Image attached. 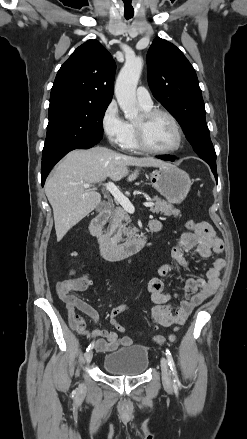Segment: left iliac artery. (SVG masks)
Returning <instances> with one entry per match:
<instances>
[{
    "label": "left iliac artery",
    "instance_id": "44dca946",
    "mask_svg": "<svg viewBox=\"0 0 247 439\" xmlns=\"http://www.w3.org/2000/svg\"><path fill=\"white\" fill-rule=\"evenodd\" d=\"M166 357H167V361H168V364L170 366V369H171V371L173 373V381H174L175 384H179V379H178V375H177L176 366H175L173 357H172V355H171L169 350H166Z\"/></svg>",
    "mask_w": 247,
    "mask_h": 439
}]
</instances>
